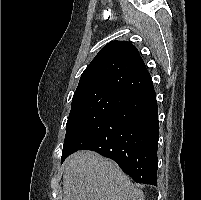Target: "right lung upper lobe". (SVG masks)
Here are the masks:
<instances>
[{
    "mask_svg": "<svg viewBox=\"0 0 201 200\" xmlns=\"http://www.w3.org/2000/svg\"><path fill=\"white\" fill-rule=\"evenodd\" d=\"M153 88L138 50L127 41H111L81 75L74 94L106 90L134 98Z\"/></svg>",
    "mask_w": 201,
    "mask_h": 200,
    "instance_id": "cb5924a9",
    "label": "right lung upper lobe"
}]
</instances>
